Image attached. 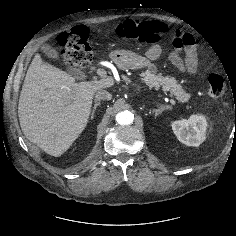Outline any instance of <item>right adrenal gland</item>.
<instances>
[{
  "mask_svg": "<svg viewBox=\"0 0 236 236\" xmlns=\"http://www.w3.org/2000/svg\"><path fill=\"white\" fill-rule=\"evenodd\" d=\"M100 105V102H96L94 104V107H93V110H92V113H91V117L90 119L92 120L94 118V114H95V111H96V108Z\"/></svg>",
  "mask_w": 236,
  "mask_h": 236,
  "instance_id": "1",
  "label": "right adrenal gland"
}]
</instances>
